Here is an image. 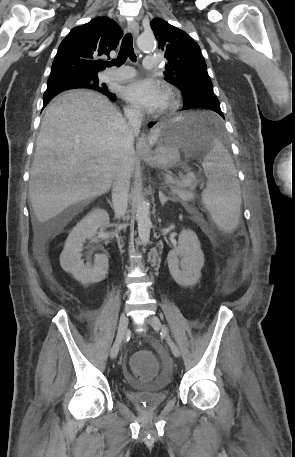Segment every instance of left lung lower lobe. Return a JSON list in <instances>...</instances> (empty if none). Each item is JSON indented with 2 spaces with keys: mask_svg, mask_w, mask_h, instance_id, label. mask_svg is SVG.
<instances>
[{
  "mask_svg": "<svg viewBox=\"0 0 295 457\" xmlns=\"http://www.w3.org/2000/svg\"><path fill=\"white\" fill-rule=\"evenodd\" d=\"M194 107H203V108L211 109V110L217 112L219 115H221L224 118L223 113L220 109V104H219L218 99L207 97L204 99L195 100L192 103L187 104L185 108L189 109V108H194ZM153 124L154 123H152L151 125H153ZM208 128H209V130L214 131L212 124H208Z\"/></svg>",
  "mask_w": 295,
  "mask_h": 457,
  "instance_id": "left-lung-lower-lobe-1",
  "label": "left lung lower lobe"
}]
</instances>
